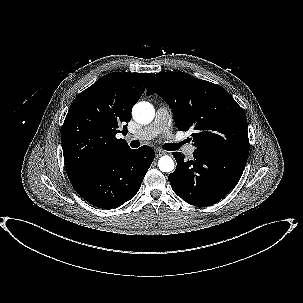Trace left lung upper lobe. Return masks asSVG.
Masks as SVG:
<instances>
[{
	"instance_id": "1",
	"label": "left lung upper lobe",
	"mask_w": 303,
	"mask_h": 303,
	"mask_svg": "<svg viewBox=\"0 0 303 303\" xmlns=\"http://www.w3.org/2000/svg\"><path fill=\"white\" fill-rule=\"evenodd\" d=\"M161 96L172 108L175 125L191 134L198 151L249 154L243 109L221 86L184 72H160L147 86V95Z\"/></svg>"
}]
</instances>
